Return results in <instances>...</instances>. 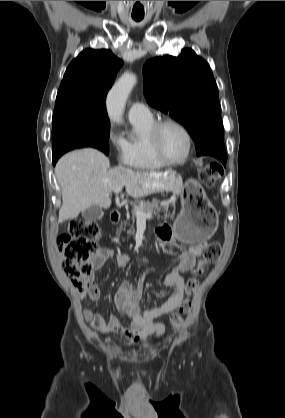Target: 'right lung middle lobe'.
Listing matches in <instances>:
<instances>
[{"label":"right lung middle lobe","instance_id":"1","mask_svg":"<svg viewBox=\"0 0 285 418\" xmlns=\"http://www.w3.org/2000/svg\"><path fill=\"white\" fill-rule=\"evenodd\" d=\"M110 122L103 110L83 106L55 107L52 118L53 159L69 150L94 147L109 153Z\"/></svg>","mask_w":285,"mask_h":418}]
</instances>
